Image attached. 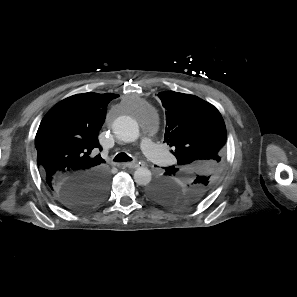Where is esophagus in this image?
<instances>
[{"label":"esophagus","mask_w":297,"mask_h":297,"mask_svg":"<svg viewBox=\"0 0 297 297\" xmlns=\"http://www.w3.org/2000/svg\"><path fill=\"white\" fill-rule=\"evenodd\" d=\"M122 165L128 168H139L141 166L139 163H133V162L123 163Z\"/></svg>","instance_id":"obj_1"}]
</instances>
